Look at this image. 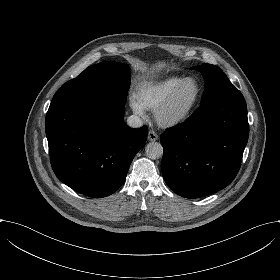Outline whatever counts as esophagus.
<instances>
[{"label": "esophagus", "instance_id": "esophagus-1", "mask_svg": "<svg viewBox=\"0 0 280 280\" xmlns=\"http://www.w3.org/2000/svg\"><path fill=\"white\" fill-rule=\"evenodd\" d=\"M147 139H148V141H157L158 140V135L155 131L150 130L148 132Z\"/></svg>", "mask_w": 280, "mask_h": 280}]
</instances>
